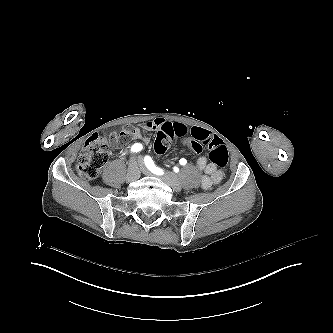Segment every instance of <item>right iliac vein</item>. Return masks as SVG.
Here are the masks:
<instances>
[{
    "mask_svg": "<svg viewBox=\"0 0 333 333\" xmlns=\"http://www.w3.org/2000/svg\"><path fill=\"white\" fill-rule=\"evenodd\" d=\"M139 177V173H138V169H137V165L136 162L132 159L130 162V166H129V172L127 174V181L128 182H133L136 181Z\"/></svg>",
    "mask_w": 333,
    "mask_h": 333,
    "instance_id": "1",
    "label": "right iliac vein"
}]
</instances>
